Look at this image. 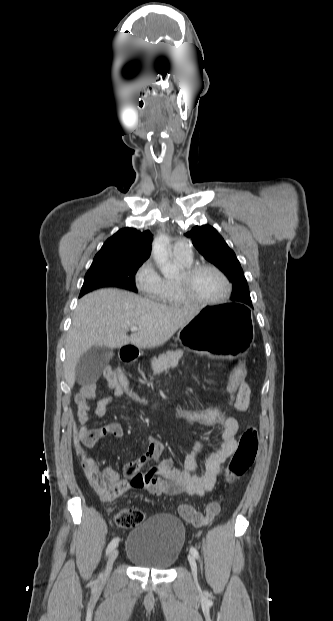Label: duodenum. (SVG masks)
Masks as SVG:
<instances>
[{"mask_svg": "<svg viewBox=\"0 0 333 621\" xmlns=\"http://www.w3.org/2000/svg\"><path fill=\"white\" fill-rule=\"evenodd\" d=\"M121 359L126 363L134 362L138 357V351L134 348L125 347L120 352Z\"/></svg>", "mask_w": 333, "mask_h": 621, "instance_id": "obj_1", "label": "duodenum"}]
</instances>
